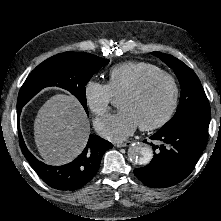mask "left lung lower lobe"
<instances>
[{"instance_id": "0a47b994", "label": "left lung lower lobe", "mask_w": 221, "mask_h": 221, "mask_svg": "<svg viewBox=\"0 0 221 221\" xmlns=\"http://www.w3.org/2000/svg\"><path fill=\"white\" fill-rule=\"evenodd\" d=\"M208 138V128L188 124L173 131H158L150 137L162 142L155 146L151 162L134 170L136 177L152 188L173 186L184 180L196 165ZM145 142V141H144Z\"/></svg>"}]
</instances>
